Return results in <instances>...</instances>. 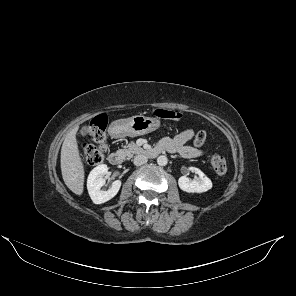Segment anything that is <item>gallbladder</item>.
I'll list each match as a JSON object with an SVG mask.
<instances>
[{
	"label": "gallbladder",
	"instance_id": "1",
	"mask_svg": "<svg viewBox=\"0 0 296 296\" xmlns=\"http://www.w3.org/2000/svg\"><path fill=\"white\" fill-rule=\"evenodd\" d=\"M87 132H88V128L87 127H83L81 130H80V134L82 136H86L87 135Z\"/></svg>",
	"mask_w": 296,
	"mask_h": 296
}]
</instances>
